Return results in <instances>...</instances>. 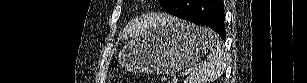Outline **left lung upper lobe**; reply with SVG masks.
I'll use <instances>...</instances> for the list:
<instances>
[{
	"label": "left lung upper lobe",
	"instance_id": "1",
	"mask_svg": "<svg viewBox=\"0 0 307 83\" xmlns=\"http://www.w3.org/2000/svg\"><path fill=\"white\" fill-rule=\"evenodd\" d=\"M161 7L165 10L168 11L169 8L173 5L175 0H158Z\"/></svg>",
	"mask_w": 307,
	"mask_h": 83
}]
</instances>
